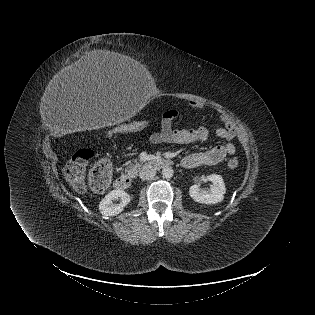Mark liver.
<instances>
[{
    "label": "liver",
    "instance_id": "6515ba94",
    "mask_svg": "<svg viewBox=\"0 0 315 315\" xmlns=\"http://www.w3.org/2000/svg\"><path fill=\"white\" fill-rule=\"evenodd\" d=\"M138 66L129 56L108 50H95L65 68L56 77L67 82L127 80Z\"/></svg>",
    "mask_w": 315,
    "mask_h": 315
}]
</instances>
